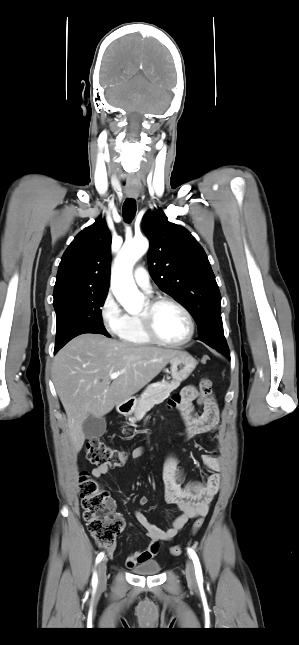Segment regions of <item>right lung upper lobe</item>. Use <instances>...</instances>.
I'll use <instances>...</instances> for the list:
<instances>
[{
  "label": "right lung upper lobe",
  "instance_id": "cb5924a9",
  "mask_svg": "<svg viewBox=\"0 0 299 645\" xmlns=\"http://www.w3.org/2000/svg\"><path fill=\"white\" fill-rule=\"evenodd\" d=\"M111 233L98 218L83 229L62 256L54 287V302L69 294L108 292Z\"/></svg>",
  "mask_w": 299,
  "mask_h": 645
}]
</instances>
